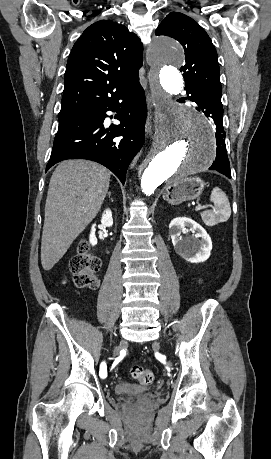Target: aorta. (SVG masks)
I'll list each match as a JSON object with an SVG mask.
<instances>
[{
	"label": "aorta",
	"instance_id": "aorta-1",
	"mask_svg": "<svg viewBox=\"0 0 271 459\" xmlns=\"http://www.w3.org/2000/svg\"><path fill=\"white\" fill-rule=\"evenodd\" d=\"M184 50L175 40L163 37L150 48L151 89L156 111L152 149L142 165L141 189L149 196L164 181H177L209 168L215 159L213 131L206 118L194 109L178 107L169 95L183 90L178 66Z\"/></svg>",
	"mask_w": 271,
	"mask_h": 459
}]
</instances>
